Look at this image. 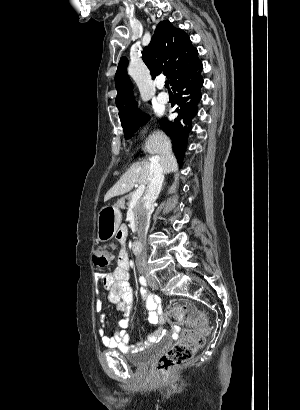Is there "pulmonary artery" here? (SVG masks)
<instances>
[{
  "label": "pulmonary artery",
  "mask_w": 300,
  "mask_h": 410,
  "mask_svg": "<svg viewBox=\"0 0 300 410\" xmlns=\"http://www.w3.org/2000/svg\"><path fill=\"white\" fill-rule=\"evenodd\" d=\"M158 88L160 90V93L158 95V101L161 104H166L169 101V96L168 94L163 90L164 84L162 82L158 83Z\"/></svg>",
  "instance_id": "pulmonary-artery-1"
}]
</instances>
